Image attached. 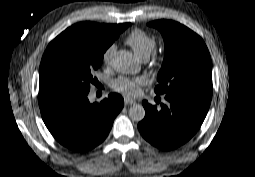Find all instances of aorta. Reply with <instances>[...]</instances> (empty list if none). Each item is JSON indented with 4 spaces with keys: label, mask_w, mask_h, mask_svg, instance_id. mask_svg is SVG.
Instances as JSON below:
<instances>
[{
    "label": "aorta",
    "mask_w": 255,
    "mask_h": 177,
    "mask_svg": "<svg viewBox=\"0 0 255 177\" xmlns=\"http://www.w3.org/2000/svg\"><path fill=\"white\" fill-rule=\"evenodd\" d=\"M112 66L118 73L122 74H135L140 69L133 54L127 50H120L114 55ZM129 117L136 122L142 121L145 117L144 107L140 104L132 105L129 109Z\"/></svg>",
    "instance_id": "aorta-1"
}]
</instances>
